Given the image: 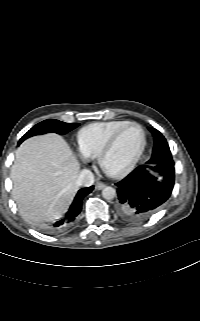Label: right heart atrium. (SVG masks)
<instances>
[{"label":"right heart atrium","instance_id":"1","mask_svg":"<svg viewBox=\"0 0 200 321\" xmlns=\"http://www.w3.org/2000/svg\"><path fill=\"white\" fill-rule=\"evenodd\" d=\"M80 157H81V159H82V161H87L88 160V158L87 157H85L84 155H80Z\"/></svg>","mask_w":200,"mask_h":321}]
</instances>
